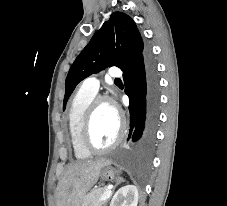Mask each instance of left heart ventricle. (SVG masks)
<instances>
[{
  "label": "left heart ventricle",
  "mask_w": 227,
  "mask_h": 206,
  "mask_svg": "<svg viewBox=\"0 0 227 206\" xmlns=\"http://www.w3.org/2000/svg\"><path fill=\"white\" fill-rule=\"evenodd\" d=\"M118 116L113 106L108 103L101 104L94 115L91 137L97 147L110 145L118 133Z\"/></svg>",
  "instance_id": "obj_1"
}]
</instances>
